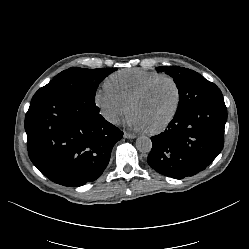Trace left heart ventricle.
I'll return each mask as SVG.
<instances>
[{"label": "left heart ventricle", "mask_w": 249, "mask_h": 249, "mask_svg": "<svg viewBox=\"0 0 249 249\" xmlns=\"http://www.w3.org/2000/svg\"><path fill=\"white\" fill-rule=\"evenodd\" d=\"M176 105V91L172 83L162 80L156 83L143 97L135 101L130 109L140 116L147 130L164 122Z\"/></svg>", "instance_id": "1"}]
</instances>
